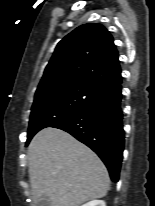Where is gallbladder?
<instances>
[{"label":"gallbladder","mask_w":155,"mask_h":206,"mask_svg":"<svg viewBox=\"0 0 155 206\" xmlns=\"http://www.w3.org/2000/svg\"><path fill=\"white\" fill-rule=\"evenodd\" d=\"M35 206H51V204L46 196H42Z\"/></svg>","instance_id":"1"}]
</instances>
